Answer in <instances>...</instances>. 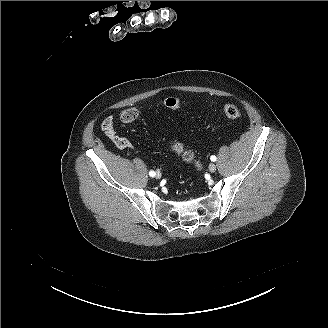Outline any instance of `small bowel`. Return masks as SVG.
Instances as JSON below:
<instances>
[{
	"label": "small bowel",
	"mask_w": 328,
	"mask_h": 328,
	"mask_svg": "<svg viewBox=\"0 0 328 328\" xmlns=\"http://www.w3.org/2000/svg\"><path fill=\"white\" fill-rule=\"evenodd\" d=\"M102 128L113 137L115 143L119 147H121V148H132L133 147L132 144L128 140L114 135L112 116H108L103 120Z\"/></svg>",
	"instance_id": "obj_1"
}]
</instances>
